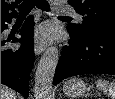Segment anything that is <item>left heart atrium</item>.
<instances>
[{
    "label": "left heart atrium",
    "instance_id": "39dd6f15",
    "mask_svg": "<svg viewBox=\"0 0 115 99\" xmlns=\"http://www.w3.org/2000/svg\"><path fill=\"white\" fill-rule=\"evenodd\" d=\"M54 36L53 29L48 25H42L38 28L35 34V40L39 44H46L52 40Z\"/></svg>",
    "mask_w": 115,
    "mask_h": 99
}]
</instances>
